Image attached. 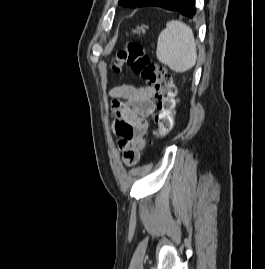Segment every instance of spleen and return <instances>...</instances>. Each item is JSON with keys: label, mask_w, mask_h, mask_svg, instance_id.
Wrapping results in <instances>:
<instances>
[{"label": "spleen", "mask_w": 265, "mask_h": 269, "mask_svg": "<svg viewBox=\"0 0 265 269\" xmlns=\"http://www.w3.org/2000/svg\"><path fill=\"white\" fill-rule=\"evenodd\" d=\"M156 56L159 62L176 73L193 68L197 50L192 29L181 21H169L158 37Z\"/></svg>", "instance_id": "3e777b00"}]
</instances>
